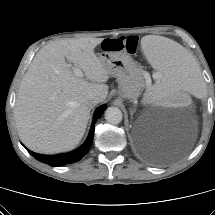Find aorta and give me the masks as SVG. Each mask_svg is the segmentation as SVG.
I'll use <instances>...</instances> for the list:
<instances>
[{
  "label": "aorta",
  "mask_w": 215,
  "mask_h": 215,
  "mask_svg": "<svg viewBox=\"0 0 215 215\" xmlns=\"http://www.w3.org/2000/svg\"><path fill=\"white\" fill-rule=\"evenodd\" d=\"M105 119L108 123L115 125L122 121L123 115L119 108L109 107L105 111Z\"/></svg>",
  "instance_id": "762f6f07"
}]
</instances>
